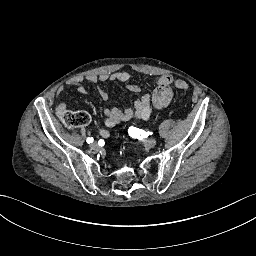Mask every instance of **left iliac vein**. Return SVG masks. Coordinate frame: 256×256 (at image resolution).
Wrapping results in <instances>:
<instances>
[{
    "label": "left iliac vein",
    "mask_w": 256,
    "mask_h": 256,
    "mask_svg": "<svg viewBox=\"0 0 256 256\" xmlns=\"http://www.w3.org/2000/svg\"><path fill=\"white\" fill-rule=\"evenodd\" d=\"M143 144L145 146H147L148 148H153L157 144V141H156V139L151 138L148 141L143 142Z\"/></svg>",
    "instance_id": "left-iliac-vein-1"
}]
</instances>
